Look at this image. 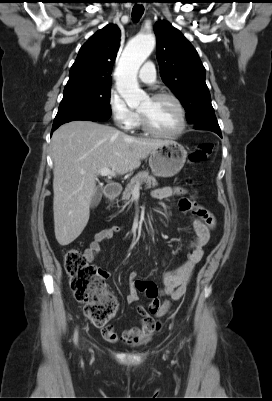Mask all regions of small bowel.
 Masks as SVG:
<instances>
[{
    "instance_id": "1",
    "label": "small bowel",
    "mask_w": 272,
    "mask_h": 401,
    "mask_svg": "<svg viewBox=\"0 0 272 401\" xmlns=\"http://www.w3.org/2000/svg\"><path fill=\"white\" fill-rule=\"evenodd\" d=\"M186 190L180 187H163L154 190L153 195L156 198H168L176 195L185 194ZM178 208L181 212L191 214V222L194 230V237L189 245L190 252L182 263L181 266L174 270L167 271L162 279L163 285L158 287L153 282L140 281L137 278L135 271L129 274L128 284L129 291L126 297L128 303H135L139 300V293L145 292L150 298L149 306H155L156 311L148 316L141 315L140 327L125 329L121 332L110 331L106 337L111 341L121 338L129 344H137L146 342L150 336L158 329V324L155 322L154 317L164 315L170 302L179 300L186 292L188 283L195 266L201 261L204 255L203 247L207 244L210 238L211 231L214 229L216 221L213 214L191 201L188 198L182 197L178 202ZM122 231V227L114 225L112 227L98 231L89 246L85 250L86 259L89 262L94 261L96 255L101 249V244ZM104 277H108V272H102ZM143 290L141 285H148ZM161 296H166L169 300L160 301ZM154 317H153V316Z\"/></svg>"
}]
</instances>
